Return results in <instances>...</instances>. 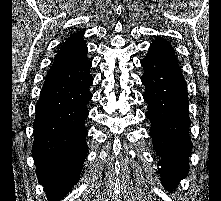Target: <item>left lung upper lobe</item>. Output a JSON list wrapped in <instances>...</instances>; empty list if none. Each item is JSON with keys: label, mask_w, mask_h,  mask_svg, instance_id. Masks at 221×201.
<instances>
[{"label": "left lung upper lobe", "mask_w": 221, "mask_h": 201, "mask_svg": "<svg viewBox=\"0 0 221 201\" xmlns=\"http://www.w3.org/2000/svg\"><path fill=\"white\" fill-rule=\"evenodd\" d=\"M147 55H151L157 59L179 65L178 60L175 57L173 47L167 40L163 38H157L152 41Z\"/></svg>", "instance_id": "left-lung-upper-lobe-1"}]
</instances>
